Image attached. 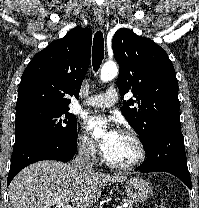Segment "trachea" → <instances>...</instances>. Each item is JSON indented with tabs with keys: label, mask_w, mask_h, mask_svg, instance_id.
Listing matches in <instances>:
<instances>
[{
	"label": "trachea",
	"mask_w": 199,
	"mask_h": 208,
	"mask_svg": "<svg viewBox=\"0 0 199 208\" xmlns=\"http://www.w3.org/2000/svg\"><path fill=\"white\" fill-rule=\"evenodd\" d=\"M92 66L97 72L104 58V38L101 31H97L93 41Z\"/></svg>",
	"instance_id": "obj_1"
}]
</instances>
